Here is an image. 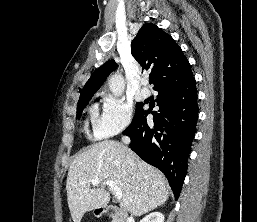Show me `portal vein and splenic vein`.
I'll return each instance as SVG.
<instances>
[{"mask_svg": "<svg viewBox=\"0 0 257 222\" xmlns=\"http://www.w3.org/2000/svg\"><path fill=\"white\" fill-rule=\"evenodd\" d=\"M101 182V180H99L98 178L92 179L91 180V184L92 185H98ZM106 185H108L113 191H114V195L117 199H121L122 198V191L116 186L115 182L112 180H107L105 181Z\"/></svg>", "mask_w": 257, "mask_h": 222, "instance_id": "obj_1", "label": "portal vein and splenic vein"}]
</instances>
